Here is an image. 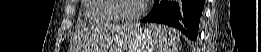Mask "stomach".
<instances>
[{
	"instance_id": "1",
	"label": "stomach",
	"mask_w": 261,
	"mask_h": 52,
	"mask_svg": "<svg viewBox=\"0 0 261 52\" xmlns=\"http://www.w3.org/2000/svg\"><path fill=\"white\" fill-rule=\"evenodd\" d=\"M111 29H116L124 32V35L118 37L116 49L118 52H153L157 42L152 34V30L145 28H128L113 26Z\"/></svg>"
}]
</instances>
